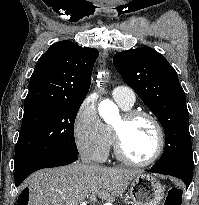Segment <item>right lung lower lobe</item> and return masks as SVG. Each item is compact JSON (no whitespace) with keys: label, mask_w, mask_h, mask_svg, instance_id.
<instances>
[{"label":"right lung lower lobe","mask_w":199,"mask_h":205,"mask_svg":"<svg viewBox=\"0 0 199 205\" xmlns=\"http://www.w3.org/2000/svg\"><path fill=\"white\" fill-rule=\"evenodd\" d=\"M77 159V156H67L63 154H48L38 157L15 169V185L19 186L27 176L37 170L67 165L75 162Z\"/></svg>","instance_id":"obj_1"}]
</instances>
